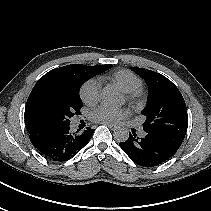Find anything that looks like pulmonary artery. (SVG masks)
Returning <instances> with one entry per match:
<instances>
[{
  "instance_id": "1",
  "label": "pulmonary artery",
  "mask_w": 211,
  "mask_h": 211,
  "mask_svg": "<svg viewBox=\"0 0 211 211\" xmlns=\"http://www.w3.org/2000/svg\"><path fill=\"white\" fill-rule=\"evenodd\" d=\"M145 135H146L145 132H141V133H140V137H142V138L145 137Z\"/></svg>"
}]
</instances>
